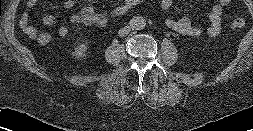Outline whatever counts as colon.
Here are the masks:
<instances>
[{"instance_id": "1", "label": "colon", "mask_w": 253, "mask_h": 131, "mask_svg": "<svg viewBox=\"0 0 253 131\" xmlns=\"http://www.w3.org/2000/svg\"><path fill=\"white\" fill-rule=\"evenodd\" d=\"M146 0H120L117 1L109 12L110 18H120L126 15L132 8L143 4ZM246 26V21L241 18H235L231 24V27L235 30L242 29ZM51 40V39H50ZM48 39H43V45L48 44L50 42Z\"/></svg>"}]
</instances>
